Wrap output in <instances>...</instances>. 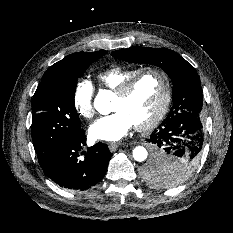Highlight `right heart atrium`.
<instances>
[{
    "instance_id": "1",
    "label": "right heart atrium",
    "mask_w": 233,
    "mask_h": 233,
    "mask_svg": "<svg viewBox=\"0 0 233 233\" xmlns=\"http://www.w3.org/2000/svg\"><path fill=\"white\" fill-rule=\"evenodd\" d=\"M94 94L95 88L91 81L80 79L75 84L72 102L76 112L85 119L94 116Z\"/></svg>"
}]
</instances>
